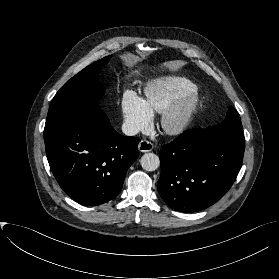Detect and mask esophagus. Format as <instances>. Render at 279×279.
<instances>
[{
  "mask_svg": "<svg viewBox=\"0 0 279 279\" xmlns=\"http://www.w3.org/2000/svg\"><path fill=\"white\" fill-rule=\"evenodd\" d=\"M138 149L140 152H150L153 149V144L147 140H141Z\"/></svg>",
  "mask_w": 279,
  "mask_h": 279,
  "instance_id": "obj_1",
  "label": "esophagus"
}]
</instances>
